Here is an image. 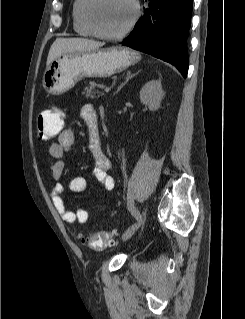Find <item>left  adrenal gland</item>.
I'll list each match as a JSON object with an SVG mask.
<instances>
[{
    "mask_svg": "<svg viewBox=\"0 0 245 319\" xmlns=\"http://www.w3.org/2000/svg\"><path fill=\"white\" fill-rule=\"evenodd\" d=\"M140 71H137L136 73H132L131 71H128L126 77H125V81L118 87L117 91L115 92L118 93L120 91V89L129 81V79H131L132 77H134L135 75H137Z\"/></svg>",
    "mask_w": 245,
    "mask_h": 319,
    "instance_id": "obj_1",
    "label": "left adrenal gland"
}]
</instances>
